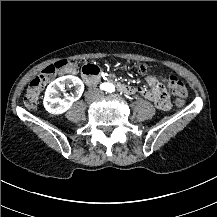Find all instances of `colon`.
<instances>
[{
    "instance_id": "5ec220e1",
    "label": "colon",
    "mask_w": 217,
    "mask_h": 217,
    "mask_svg": "<svg viewBox=\"0 0 217 217\" xmlns=\"http://www.w3.org/2000/svg\"><path fill=\"white\" fill-rule=\"evenodd\" d=\"M78 71V64L70 58L58 60L52 63L48 69H44L29 83L23 98V104L28 109H34L37 106L38 96L43 86H46L49 81H56L61 76L75 74ZM162 85L169 88L176 96L175 104L182 106L188 98V89L186 85L175 76H167ZM155 98L156 95H153Z\"/></svg>"
}]
</instances>
